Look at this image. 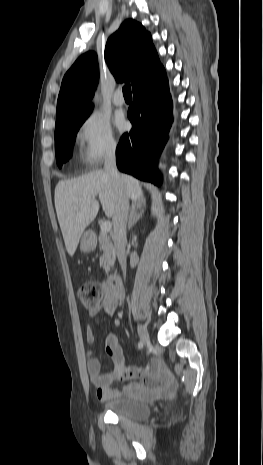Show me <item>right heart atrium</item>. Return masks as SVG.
I'll return each instance as SVG.
<instances>
[{"label":"right heart atrium","instance_id":"1","mask_svg":"<svg viewBox=\"0 0 263 465\" xmlns=\"http://www.w3.org/2000/svg\"><path fill=\"white\" fill-rule=\"evenodd\" d=\"M76 139L81 161L90 167L113 156L119 145L108 119L97 112L90 113L82 121Z\"/></svg>","mask_w":263,"mask_h":465}]
</instances>
